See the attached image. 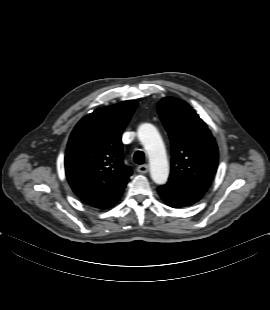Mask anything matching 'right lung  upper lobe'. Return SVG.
I'll use <instances>...</instances> for the list:
<instances>
[{
  "label": "right lung upper lobe",
  "mask_w": 270,
  "mask_h": 310,
  "mask_svg": "<svg viewBox=\"0 0 270 310\" xmlns=\"http://www.w3.org/2000/svg\"><path fill=\"white\" fill-rule=\"evenodd\" d=\"M137 105L128 100L98 108L72 131L65 172L83 202L96 204L126 185L132 170L123 164L121 136Z\"/></svg>",
  "instance_id": "cb5924a9"
}]
</instances>
